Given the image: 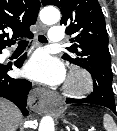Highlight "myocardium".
I'll list each match as a JSON object with an SVG mask.
<instances>
[{
  "instance_id": "myocardium-1",
  "label": "myocardium",
  "mask_w": 117,
  "mask_h": 131,
  "mask_svg": "<svg viewBox=\"0 0 117 131\" xmlns=\"http://www.w3.org/2000/svg\"><path fill=\"white\" fill-rule=\"evenodd\" d=\"M93 89V79L90 73L81 68L74 67L70 70L63 90L71 96H83Z\"/></svg>"
}]
</instances>
